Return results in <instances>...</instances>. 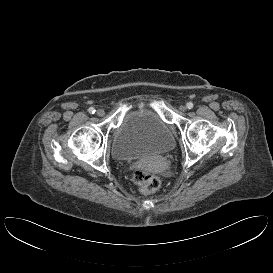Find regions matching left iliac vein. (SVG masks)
<instances>
[{
  "label": "left iliac vein",
  "mask_w": 273,
  "mask_h": 273,
  "mask_svg": "<svg viewBox=\"0 0 273 273\" xmlns=\"http://www.w3.org/2000/svg\"><path fill=\"white\" fill-rule=\"evenodd\" d=\"M186 109H187V108H186V106H184V105H181V106L179 107V110L182 111V112H184Z\"/></svg>",
  "instance_id": "1"
}]
</instances>
